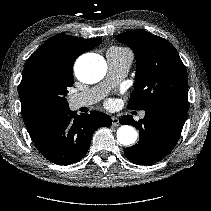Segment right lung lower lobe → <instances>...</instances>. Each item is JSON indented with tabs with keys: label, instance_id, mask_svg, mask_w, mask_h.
<instances>
[{
	"label": "right lung lower lobe",
	"instance_id": "obj_1",
	"mask_svg": "<svg viewBox=\"0 0 211 211\" xmlns=\"http://www.w3.org/2000/svg\"><path fill=\"white\" fill-rule=\"evenodd\" d=\"M111 124L110 116L104 113L92 111L80 116L68 108L53 115L29 135L46 159L55 164L70 165L85 156L94 131Z\"/></svg>",
	"mask_w": 211,
	"mask_h": 211
}]
</instances>
